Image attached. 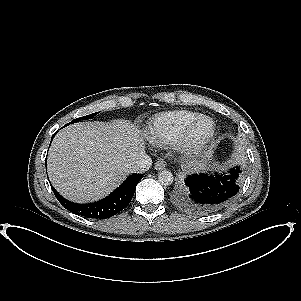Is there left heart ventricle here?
<instances>
[{
	"mask_svg": "<svg viewBox=\"0 0 301 301\" xmlns=\"http://www.w3.org/2000/svg\"><path fill=\"white\" fill-rule=\"evenodd\" d=\"M210 129V124L208 122H201L197 125L193 132V136L196 138H202L204 137Z\"/></svg>",
	"mask_w": 301,
	"mask_h": 301,
	"instance_id": "obj_1",
	"label": "left heart ventricle"
}]
</instances>
